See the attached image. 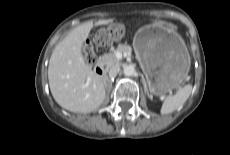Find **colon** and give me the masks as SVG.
<instances>
[{
    "label": "colon",
    "instance_id": "1",
    "mask_svg": "<svg viewBox=\"0 0 230 155\" xmlns=\"http://www.w3.org/2000/svg\"><path fill=\"white\" fill-rule=\"evenodd\" d=\"M123 33V27L119 23H113L110 26H107L105 28L100 29L95 37L94 41L98 46H106L112 43L116 37L121 36ZM84 43L85 44H90L91 43V38L90 37H85L84 38ZM84 57L87 61L88 64H93L95 60V56L93 53V50L91 46L87 45L84 48Z\"/></svg>",
    "mask_w": 230,
    "mask_h": 155
}]
</instances>
